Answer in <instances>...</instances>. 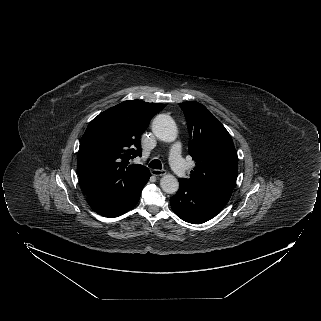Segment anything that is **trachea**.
<instances>
[{"mask_svg":"<svg viewBox=\"0 0 321 321\" xmlns=\"http://www.w3.org/2000/svg\"><path fill=\"white\" fill-rule=\"evenodd\" d=\"M149 167L153 169H162V164L160 160L154 159L149 163Z\"/></svg>","mask_w":321,"mask_h":321,"instance_id":"obj_1","label":"trachea"}]
</instances>
